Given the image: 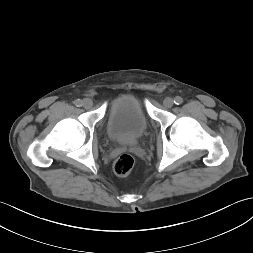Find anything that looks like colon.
I'll use <instances>...</instances> for the list:
<instances>
[{
  "label": "colon",
  "instance_id": "colon-1",
  "mask_svg": "<svg viewBox=\"0 0 253 253\" xmlns=\"http://www.w3.org/2000/svg\"><path fill=\"white\" fill-rule=\"evenodd\" d=\"M135 166V158L130 154L120 155L114 162V172L121 177L128 176Z\"/></svg>",
  "mask_w": 253,
  "mask_h": 253
}]
</instances>
